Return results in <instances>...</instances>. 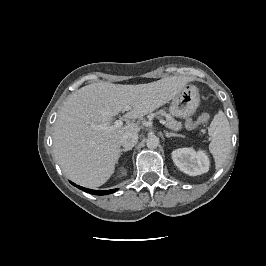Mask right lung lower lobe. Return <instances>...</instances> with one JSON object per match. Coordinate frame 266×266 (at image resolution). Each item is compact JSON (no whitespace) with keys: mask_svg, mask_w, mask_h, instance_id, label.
<instances>
[{"mask_svg":"<svg viewBox=\"0 0 266 266\" xmlns=\"http://www.w3.org/2000/svg\"><path fill=\"white\" fill-rule=\"evenodd\" d=\"M72 185L76 186L77 188L87 192V193H90V194H94V195H106V194H110V193H113L116 191V189H112V190H92V189H87V188H84V187H81V186H78L76 185L75 183L73 182H70Z\"/></svg>","mask_w":266,"mask_h":266,"instance_id":"obj_1","label":"right lung lower lobe"}]
</instances>
